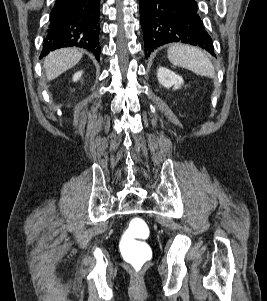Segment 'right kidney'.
Segmentation results:
<instances>
[{
    "mask_svg": "<svg viewBox=\"0 0 267 301\" xmlns=\"http://www.w3.org/2000/svg\"><path fill=\"white\" fill-rule=\"evenodd\" d=\"M82 74H83L82 71L75 73L73 76V81H78L81 78Z\"/></svg>",
    "mask_w": 267,
    "mask_h": 301,
    "instance_id": "1",
    "label": "right kidney"
}]
</instances>
